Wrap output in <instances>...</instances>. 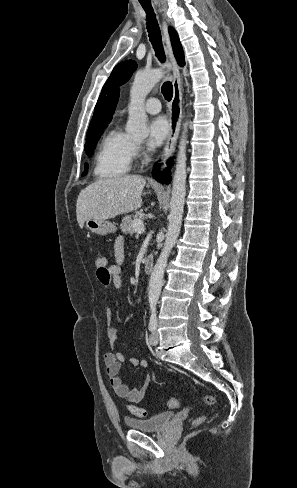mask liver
I'll use <instances>...</instances> for the list:
<instances>
[{
	"instance_id": "6515ba94",
	"label": "liver",
	"mask_w": 297,
	"mask_h": 488,
	"mask_svg": "<svg viewBox=\"0 0 297 488\" xmlns=\"http://www.w3.org/2000/svg\"><path fill=\"white\" fill-rule=\"evenodd\" d=\"M146 181L138 175L99 179L81 190L76 204L80 228L87 219L107 220L137 210Z\"/></svg>"
}]
</instances>
